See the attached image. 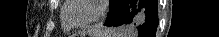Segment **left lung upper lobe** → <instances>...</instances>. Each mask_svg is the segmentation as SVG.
<instances>
[{"instance_id": "1", "label": "left lung upper lobe", "mask_w": 219, "mask_h": 37, "mask_svg": "<svg viewBox=\"0 0 219 37\" xmlns=\"http://www.w3.org/2000/svg\"><path fill=\"white\" fill-rule=\"evenodd\" d=\"M118 0H110V4H109V8H110V12L112 11V9L114 8L115 4L117 3ZM109 12V13H110Z\"/></svg>"}]
</instances>
